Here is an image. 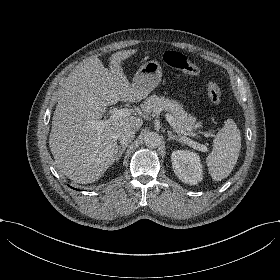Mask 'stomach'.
<instances>
[{
	"mask_svg": "<svg viewBox=\"0 0 280 280\" xmlns=\"http://www.w3.org/2000/svg\"><path fill=\"white\" fill-rule=\"evenodd\" d=\"M162 68L157 61H148L140 66L136 72L132 87L140 89L148 95L161 82Z\"/></svg>",
	"mask_w": 280,
	"mask_h": 280,
	"instance_id": "obj_1",
	"label": "stomach"
}]
</instances>
